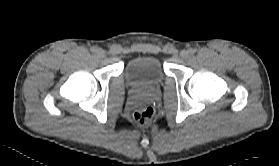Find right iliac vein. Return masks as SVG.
Returning <instances> with one entry per match:
<instances>
[{
    "mask_svg": "<svg viewBox=\"0 0 279 166\" xmlns=\"http://www.w3.org/2000/svg\"><path fill=\"white\" fill-rule=\"evenodd\" d=\"M96 54H97V56H98L99 58H103V57H105V55H106L105 51L102 50V49H98L97 52H96Z\"/></svg>",
    "mask_w": 279,
    "mask_h": 166,
    "instance_id": "1",
    "label": "right iliac vein"
}]
</instances>
